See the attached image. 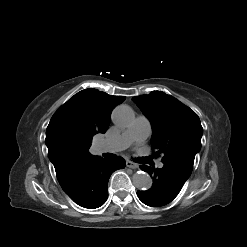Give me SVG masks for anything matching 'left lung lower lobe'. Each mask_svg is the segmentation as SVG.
Here are the masks:
<instances>
[{"label": "left lung lower lobe", "instance_id": "0a47b994", "mask_svg": "<svg viewBox=\"0 0 247 247\" xmlns=\"http://www.w3.org/2000/svg\"><path fill=\"white\" fill-rule=\"evenodd\" d=\"M141 169L153 177L154 183L149 190L138 191L137 196L144 204L151 207H159L171 202L188 179L184 174L168 165H164L160 169L141 165Z\"/></svg>", "mask_w": 247, "mask_h": 247}]
</instances>
